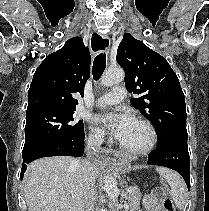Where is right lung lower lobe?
Here are the masks:
<instances>
[{"mask_svg":"<svg viewBox=\"0 0 209 211\" xmlns=\"http://www.w3.org/2000/svg\"><path fill=\"white\" fill-rule=\"evenodd\" d=\"M83 152L84 135L75 140H59L43 145L26 156H23L24 164H22L23 168L21 169L20 179L23 178V174L27 167L26 164H29L38 158L60 155L80 157L83 155Z\"/></svg>","mask_w":209,"mask_h":211,"instance_id":"right-lung-lower-lobe-1","label":"right lung lower lobe"}]
</instances>
